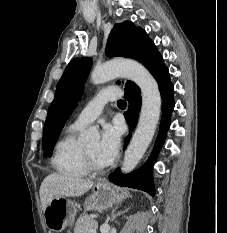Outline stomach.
Here are the masks:
<instances>
[{
	"mask_svg": "<svg viewBox=\"0 0 227 233\" xmlns=\"http://www.w3.org/2000/svg\"><path fill=\"white\" fill-rule=\"evenodd\" d=\"M129 196L128 192L118 193L109 184H97L85 201L86 210L102 211L113 204L120 203ZM76 205L65 198L53 199L44 210L46 226L52 231H62L72 225L76 216Z\"/></svg>",
	"mask_w": 227,
	"mask_h": 233,
	"instance_id": "stomach-1",
	"label": "stomach"
}]
</instances>
